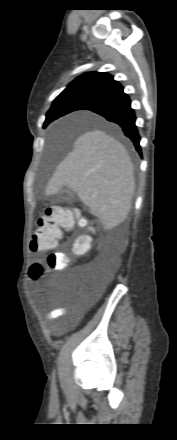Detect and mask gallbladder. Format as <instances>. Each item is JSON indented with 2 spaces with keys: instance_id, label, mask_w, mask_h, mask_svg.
Instances as JSON below:
<instances>
[{
  "instance_id": "gallbladder-1",
  "label": "gallbladder",
  "mask_w": 177,
  "mask_h": 440,
  "mask_svg": "<svg viewBox=\"0 0 177 440\" xmlns=\"http://www.w3.org/2000/svg\"><path fill=\"white\" fill-rule=\"evenodd\" d=\"M75 199L74 193L68 189L62 188L54 197V202H71Z\"/></svg>"
}]
</instances>
